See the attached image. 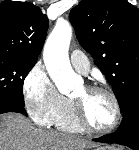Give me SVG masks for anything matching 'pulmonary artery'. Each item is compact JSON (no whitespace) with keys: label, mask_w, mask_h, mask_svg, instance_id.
Here are the masks:
<instances>
[{"label":"pulmonary artery","mask_w":139,"mask_h":150,"mask_svg":"<svg viewBox=\"0 0 139 150\" xmlns=\"http://www.w3.org/2000/svg\"><path fill=\"white\" fill-rule=\"evenodd\" d=\"M70 60L72 66L78 72L87 74L90 70V63L87 56L80 50H74L71 52Z\"/></svg>","instance_id":"1"}]
</instances>
